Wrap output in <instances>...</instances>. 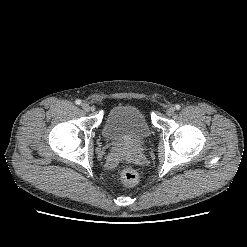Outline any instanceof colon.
<instances>
[{
	"mask_svg": "<svg viewBox=\"0 0 247 247\" xmlns=\"http://www.w3.org/2000/svg\"><path fill=\"white\" fill-rule=\"evenodd\" d=\"M119 176L121 181L129 187L135 186L139 181L138 173L130 167H122L119 170Z\"/></svg>",
	"mask_w": 247,
	"mask_h": 247,
	"instance_id": "colon-1",
	"label": "colon"
}]
</instances>
